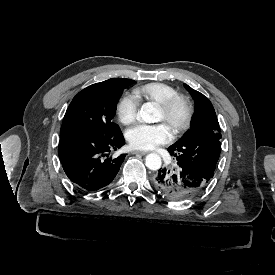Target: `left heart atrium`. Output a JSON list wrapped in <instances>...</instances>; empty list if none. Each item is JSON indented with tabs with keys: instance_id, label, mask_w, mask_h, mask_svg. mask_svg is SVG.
Here are the masks:
<instances>
[{
	"instance_id": "1",
	"label": "left heart atrium",
	"mask_w": 275,
	"mask_h": 275,
	"mask_svg": "<svg viewBox=\"0 0 275 275\" xmlns=\"http://www.w3.org/2000/svg\"><path fill=\"white\" fill-rule=\"evenodd\" d=\"M173 132L164 124L138 123L126 131V139L131 148L151 150L170 142Z\"/></svg>"
}]
</instances>
